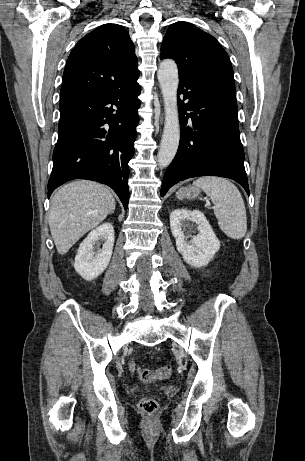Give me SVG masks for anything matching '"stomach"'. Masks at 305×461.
Instances as JSON below:
<instances>
[{
	"instance_id": "stomach-1",
	"label": "stomach",
	"mask_w": 305,
	"mask_h": 461,
	"mask_svg": "<svg viewBox=\"0 0 305 461\" xmlns=\"http://www.w3.org/2000/svg\"><path fill=\"white\" fill-rule=\"evenodd\" d=\"M200 194V188L194 186H188L180 188L176 193L178 199H194Z\"/></svg>"
}]
</instances>
